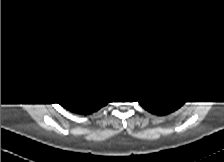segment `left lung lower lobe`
Listing matches in <instances>:
<instances>
[{"mask_svg": "<svg viewBox=\"0 0 224 162\" xmlns=\"http://www.w3.org/2000/svg\"><path fill=\"white\" fill-rule=\"evenodd\" d=\"M187 99L188 97L183 93L170 92L168 94H160L157 97L150 98L148 101L141 102V105L151 113L165 115L180 108Z\"/></svg>", "mask_w": 224, "mask_h": 162, "instance_id": "1", "label": "left lung lower lobe"}]
</instances>
